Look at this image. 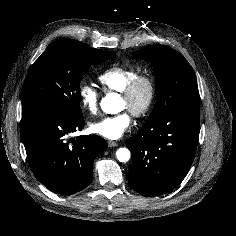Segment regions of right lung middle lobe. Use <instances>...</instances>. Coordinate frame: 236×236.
Listing matches in <instances>:
<instances>
[{
    "mask_svg": "<svg viewBox=\"0 0 236 236\" xmlns=\"http://www.w3.org/2000/svg\"><path fill=\"white\" fill-rule=\"evenodd\" d=\"M114 56L113 52L95 50L73 39L51 43L26 76L22 116L41 110L82 115L79 84L84 72Z\"/></svg>",
    "mask_w": 236,
    "mask_h": 236,
    "instance_id": "right-lung-middle-lobe-1",
    "label": "right lung middle lobe"
}]
</instances>
